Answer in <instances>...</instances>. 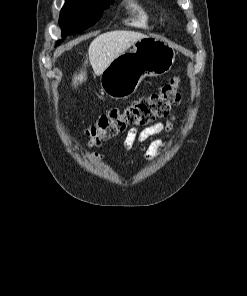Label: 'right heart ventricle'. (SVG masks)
<instances>
[{"label": "right heart ventricle", "instance_id": "right-heart-ventricle-1", "mask_svg": "<svg viewBox=\"0 0 247 296\" xmlns=\"http://www.w3.org/2000/svg\"><path fill=\"white\" fill-rule=\"evenodd\" d=\"M127 7L130 12L128 24L141 29H149L151 27V16L141 2L138 0H128Z\"/></svg>", "mask_w": 247, "mask_h": 296}]
</instances>
